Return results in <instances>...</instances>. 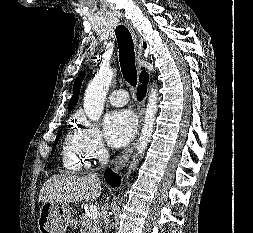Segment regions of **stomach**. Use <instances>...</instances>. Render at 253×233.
<instances>
[{
	"label": "stomach",
	"instance_id": "0dacf381",
	"mask_svg": "<svg viewBox=\"0 0 253 233\" xmlns=\"http://www.w3.org/2000/svg\"><path fill=\"white\" fill-rule=\"evenodd\" d=\"M67 203L43 202L38 218L40 233H64L71 224V211Z\"/></svg>",
	"mask_w": 253,
	"mask_h": 233
}]
</instances>
